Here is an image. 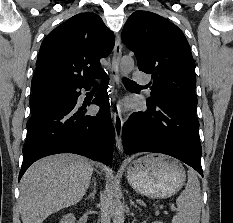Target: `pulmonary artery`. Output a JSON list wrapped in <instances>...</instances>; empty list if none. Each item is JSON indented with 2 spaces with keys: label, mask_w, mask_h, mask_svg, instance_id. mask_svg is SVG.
I'll return each mask as SVG.
<instances>
[{
  "label": "pulmonary artery",
  "mask_w": 233,
  "mask_h": 223,
  "mask_svg": "<svg viewBox=\"0 0 233 223\" xmlns=\"http://www.w3.org/2000/svg\"><path fill=\"white\" fill-rule=\"evenodd\" d=\"M132 75L142 84H148L150 81V74H144V70H132Z\"/></svg>",
  "instance_id": "1"
}]
</instances>
